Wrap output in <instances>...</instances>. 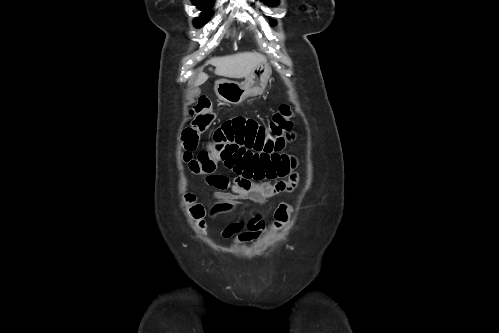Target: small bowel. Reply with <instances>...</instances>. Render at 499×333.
<instances>
[{"label": "small bowel", "instance_id": "obj_1", "mask_svg": "<svg viewBox=\"0 0 499 333\" xmlns=\"http://www.w3.org/2000/svg\"><path fill=\"white\" fill-rule=\"evenodd\" d=\"M292 137L291 129L284 136L273 138L267 127L244 117L224 122L214 134V144L220 160L234 177L207 176L206 182L217 189L214 195L220 201L213 212L229 210L243 200L263 206L269 198L293 191L299 177L293 171L294 159L284 152ZM283 177L287 180L270 182ZM264 226L260 214L254 213L248 221L241 219L229 224L220 234L224 239L234 237L235 243H243L258 238Z\"/></svg>", "mask_w": 499, "mask_h": 333}]
</instances>
